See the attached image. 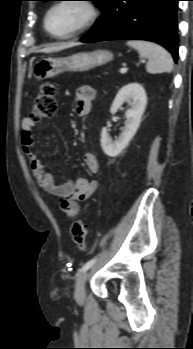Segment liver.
Here are the masks:
<instances>
[{"instance_id": "liver-1", "label": "liver", "mask_w": 193, "mask_h": 349, "mask_svg": "<svg viewBox=\"0 0 193 349\" xmlns=\"http://www.w3.org/2000/svg\"><path fill=\"white\" fill-rule=\"evenodd\" d=\"M77 45H78V43H73V42H70V43H59V44H55V45H52V46L45 47V48L41 49L40 52H43V53L58 52V51H62L64 49H68V48H71V47H74V46H77Z\"/></svg>"}]
</instances>
